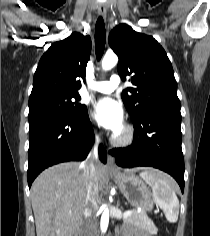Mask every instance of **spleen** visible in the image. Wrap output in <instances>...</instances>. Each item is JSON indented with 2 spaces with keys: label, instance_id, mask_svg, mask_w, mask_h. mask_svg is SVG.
I'll list each match as a JSON object with an SVG mask.
<instances>
[{
  "label": "spleen",
  "instance_id": "spleen-1",
  "mask_svg": "<svg viewBox=\"0 0 210 236\" xmlns=\"http://www.w3.org/2000/svg\"><path fill=\"white\" fill-rule=\"evenodd\" d=\"M140 176L151 186L154 201L164 211L166 219L175 223L178 220L179 200L172 188L171 179L157 171H144Z\"/></svg>",
  "mask_w": 210,
  "mask_h": 236
}]
</instances>
